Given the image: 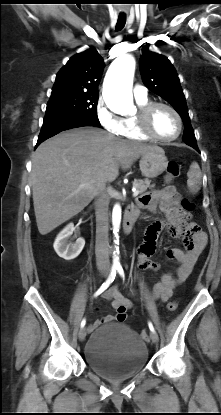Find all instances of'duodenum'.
<instances>
[{"mask_svg":"<svg viewBox=\"0 0 221 415\" xmlns=\"http://www.w3.org/2000/svg\"><path fill=\"white\" fill-rule=\"evenodd\" d=\"M137 215L138 209L136 207H129L126 210L123 221V228L125 233H130L132 231Z\"/></svg>","mask_w":221,"mask_h":415,"instance_id":"duodenum-1","label":"duodenum"}]
</instances>
